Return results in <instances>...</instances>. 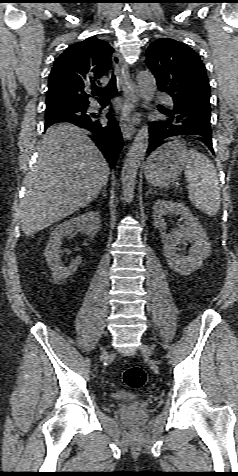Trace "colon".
Wrapping results in <instances>:
<instances>
[{
  "label": "colon",
  "mask_w": 238,
  "mask_h": 476,
  "mask_svg": "<svg viewBox=\"0 0 238 476\" xmlns=\"http://www.w3.org/2000/svg\"><path fill=\"white\" fill-rule=\"evenodd\" d=\"M123 381L129 388H142L147 381L146 371L139 366L129 367L123 373Z\"/></svg>",
  "instance_id": "colon-1"
}]
</instances>
